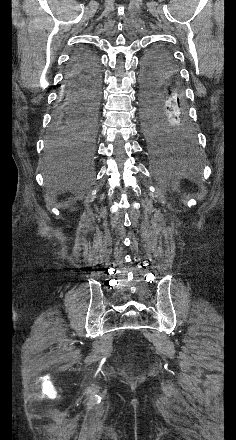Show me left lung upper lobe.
<instances>
[{
    "label": "left lung upper lobe",
    "instance_id": "obj_1",
    "mask_svg": "<svg viewBox=\"0 0 236 440\" xmlns=\"http://www.w3.org/2000/svg\"><path fill=\"white\" fill-rule=\"evenodd\" d=\"M168 52V50L164 47H156L152 50H150L144 57L143 63L151 64L153 63L160 55L163 53Z\"/></svg>",
    "mask_w": 236,
    "mask_h": 440
}]
</instances>
